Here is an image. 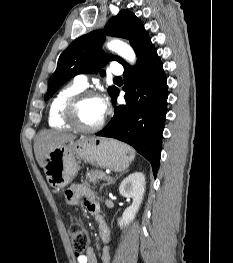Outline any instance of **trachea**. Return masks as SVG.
<instances>
[{
    "label": "trachea",
    "mask_w": 233,
    "mask_h": 263,
    "mask_svg": "<svg viewBox=\"0 0 233 263\" xmlns=\"http://www.w3.org/2000/svg\"><path fill=\"white\" fill-rule=\"evenodd\" d=\"M114 81H122V78L121 77H115Z\"/></svg>",
    "instance_id": "trachea-1"
}]
</instances>
